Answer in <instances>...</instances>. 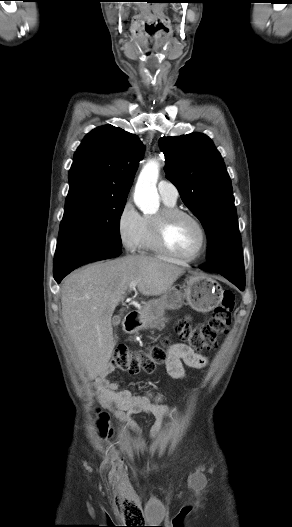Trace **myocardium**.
<instances>
[{
	"label": "myocardium",
	"instance_id": "1",
	"mask_svg": "<svg viewBox=\"0 0 292 527\" xmlns=\"http://www.w3.org/2000/svg\"><path fill=\"white\" fill-rule=\"evenodd\" d=\"M188 217L195 222L201 233V244L198 251L192 256H182L172 250L167 242V230L170 223L177 217ZM151 230L157 249L164 255L184 263H191L201 258L208 247V234L203 222L192 212L180 208H162L155 216L151 217Z\"/></svg>",
	"mask_w": 292,
	"mask_h": 527
}]
</instances>
